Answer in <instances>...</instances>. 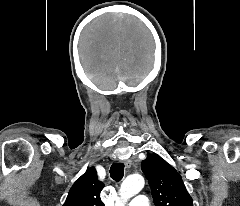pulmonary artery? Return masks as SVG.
I'll return each instance as SVG.
<instances>
[{"instance_id":"e3ab8cb5","label":"pulmonary artery","mask_w":240,"mask_h":206,"mask_svg":"<svg viewBox=\"0 0 240 206\" xmlns=\"http://www.w3.org/2000/svg\"><path fill=\"white\" fill-rule=\"evenodd\" d=\"M128 206H150L148 198L145 195H138L133 198Z\"/></svg>"}]
</instances>
